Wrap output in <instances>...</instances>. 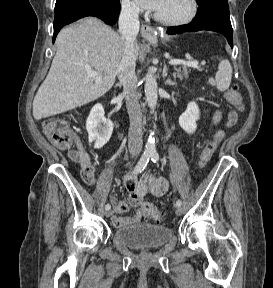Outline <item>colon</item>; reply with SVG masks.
<instances>
[{
    "label": "colon",
    "mask_w": 273,
    "mask_h": 288,
    "mask_svg": "<svg viewBox=\"0 0 273 288\" xmlns=\"http://www.w3.org/2000/svg\"><path fill=\"white\" fill-rule=\"evenodd\" d=\"M224 97L229 104L233 105L238 110H243L242 96L237 87L233 86L228 89L225 92ZM42 127L45 136L57 148L69 149L77 140L75 133L63 118L53 117L46 119L43 122ZM223 137L224 132L219 131L212 139L205 142L200 155L201 166H205L209 162ZM141 208L146 217L153 219L156 222L161 221V214L153 204L144 203Z\"/></svg>",
    "instance_id": "obj_1"
}]
</instances>
